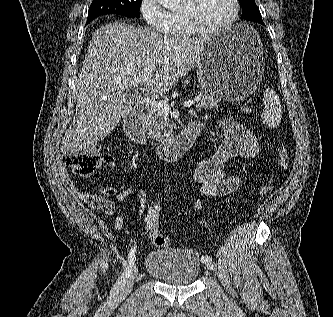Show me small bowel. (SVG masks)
Wrapping results in <instances>:
<instances>
[{"label": "small bowel", "instance_id": "c3829d8e", "mask_svg": "<svg viewBox=\"0 0 333 317\" xmlns=\"http://www.w3.org/2000/svg\"><path fill=\"white\" fill-rule=\"evenodd\" d=\"M220 126L224 132V139L218 151L194 167L192 179L201 195L194 202L197 211L202 210L205 198L225 197L240 187L239 177L228 175L225 171V165L231 158H253L259 152L260 141L252 130L232 118L222 119ZM114 166L113 161H108L110 173L114 171ZM65 185L74 198L101 210L105 215L114 216L116 230H121L124 224L122 205L132 194H136L139 198V218L144 220L148 200L146 192L141 188L129 186L119 190L110 182L101 189L103 195H98L79 190L70 179L65 180ZM108 197H115V200Z\"/></svg>", "mask_w": 333, "mask_h": 317}]
</instances>
